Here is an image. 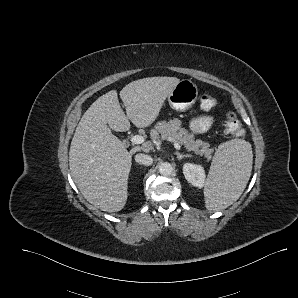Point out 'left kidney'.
Masks as SVG:
<instances>
[{
	"label": "left kidney",
	"instance_id": "left-kidney-1",
	"mask_svg": "<svg viewBox=\"0 0 298 298\" xmlns=\"http://www.w3.org/2000/svg\"><path fill=\"white\" fill-rule=\"evenodd\" d=\"M185 179L193 187L203 189L206 181V170L201 164L194 162H185L182 166Z\"/></svg>",
	"mask_w": 298,
	"mask_h": 298
}]
</instances>
